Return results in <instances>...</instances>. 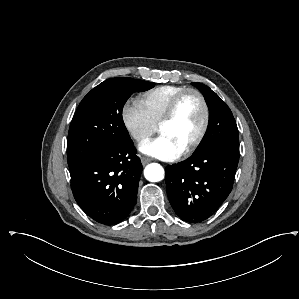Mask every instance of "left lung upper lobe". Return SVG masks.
I'll list each match as a JSON object with an SVG mask.
<instances>
[{"label":"left lung upper lobe","mask_w":299,"mask_h":299,"mask_svg":"<svg viewBox=\"0 0 299 299\" xmlns=\"http://www.w3.org/2000/svg\"><path fill=\"white\" fill-rule=\"evenodd\" d=\"M192 85L202 92L209 107L207 131L193 154L217 147L239 152L238 128L229 107L208 86L196 82Z\"/></svg>","instance_id":"1"}]
</instances>
